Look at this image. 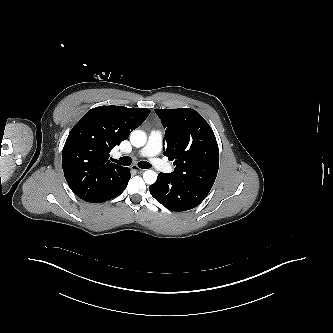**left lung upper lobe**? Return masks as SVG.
I'll use <instances>...</instances> for the list:
<instances>
[{
  "label": "left lung upper lobe",
  "mask_w": 333,
  "mask_h": 333,
  "mask_svg": "<svg viewBox=\"0 0 333 333\" xmlns=\"http://www.w3.org/2000/svg\"><path fill=\"white\" fill-rule=\"evenodd\" d=\"M166 128L164 155L176 165L174 178L212 188L219 168L216 137L195 110L155 109Z\"/></svg>",
  "instance_id": "obj_1"
}]
</instances>
